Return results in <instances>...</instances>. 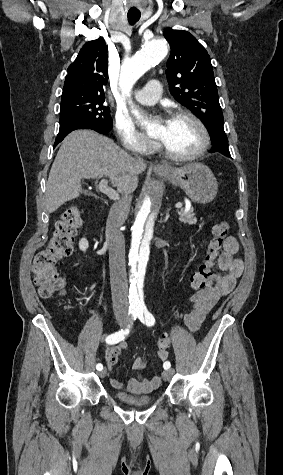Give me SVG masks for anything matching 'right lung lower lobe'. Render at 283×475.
<instances>
[{"label": "right lung lower lobe", "mask_w": 283, "mask_h": 475, "mask_svg": "<svg viewBox=\"0 0 283 475\" xmlns=\"http://www.w3.org/2000/svg\"><path fill=\"white\" fill-rule=\"evenodd\" d=\"M77 129H91L100 134H107L110 130L103 129L101 127H95L89 123L83 121H69L60 124L59 133L56 137L54 147L61 142L70 132Z\"/></svg>", "instance_id": "right-lung-lower-lobe-1"}]
</instances>
